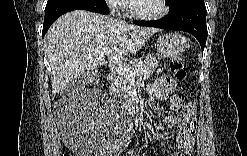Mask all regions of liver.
Masks as SVG:
<instances>
[{"label":"liver","instance_id":"liver-1","mask_svg":"<svg viewBox=\"0 0 247 156\" xmlns=\"http://www.w3.org/2000/svg\"><path fill=\"white\" fill-rule=\"evenodd\" d=\"M159 30L138 27L98 13L74 10L59 17L44 38L52 95L62 92L101 63H121Z\"/></svg>","mask_w":247,"mask_h":156}]
</instances>
